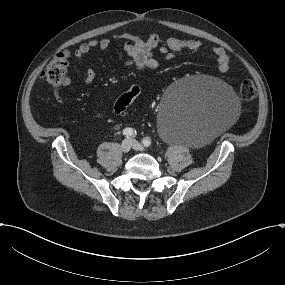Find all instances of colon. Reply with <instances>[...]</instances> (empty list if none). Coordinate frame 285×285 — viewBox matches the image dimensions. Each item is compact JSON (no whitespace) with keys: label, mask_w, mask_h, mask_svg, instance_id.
I'll list each match as a JSON object with an SVG mask.
<instances>
[{"label":"colon","mask_w":285,"mask_h":285,"mask_svg":"<svg viewBox=\"0 0 285 285\" xmlns=\"http://www.w3.org/2000/svg\"><path fill=\"white\" fill-rule=\"evenodd\" d=\"M68 67L67 55L65 53H59L50 62L46 69V78L53 85H59L66 77ZM140 94V87L137 85H131L128 90L123 93L115 103L114 111L119 114L125 111ZM238 95L243 101H251L256 97V87L253 82L244 80L238 87Z\"/></svg>","instance_id":"5ec220e1"}]
</instances>
